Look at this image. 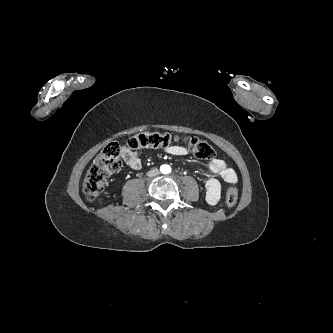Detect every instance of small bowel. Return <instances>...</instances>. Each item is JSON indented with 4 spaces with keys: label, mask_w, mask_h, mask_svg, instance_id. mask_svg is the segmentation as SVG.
Listing matches in <instances>:
<instances>
[{
    "label": "small bowel",
    "mask_w": 333,
    "mask_h": 333,
    "mask_svg": "<svg viewBox=\"0 0 333 333\" xmlns=\"http://www.w3.org/2000/svg\"><path fill=\"white\" fill-rule=\"evenodd\" d=\"M165 151L173 156H186L188 151L185 147L182 146H168ZM122 158L125 164L134 170H139L142 167V161L136 152L123 148ZM207 170L210 174L219 176L223 181L229 184H234L237 182L236 172L228 167L224 160L215 158L211 160L207 165ZM205 200L206 202L214 206L216 205L221 197L222 186L216 178H210L205 183Z\"/></svg>",
    "instance_id": "1"
}]
</instances>
